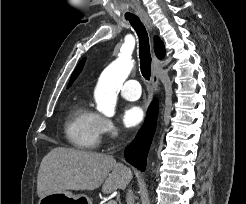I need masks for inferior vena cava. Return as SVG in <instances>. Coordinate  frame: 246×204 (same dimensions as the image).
<instances>
[{
    "label": "inferior vena cava",
    "mask_w": 246,
    "mask_h": 204,
    "mask_svg": "<svg viewBox=\"0 0 246 204\" xmlns=\"http://www.w3.org/2000/svg\"><path fill=\"white\" fill-rule=\"evenodd\" d=\"M127 204H134V195L131 189H128L126 195Z\"/></svg>",
    "instance_id": "602c4592"
}]
</instances>
